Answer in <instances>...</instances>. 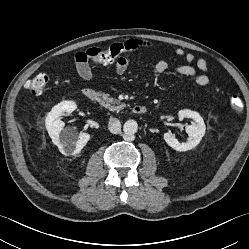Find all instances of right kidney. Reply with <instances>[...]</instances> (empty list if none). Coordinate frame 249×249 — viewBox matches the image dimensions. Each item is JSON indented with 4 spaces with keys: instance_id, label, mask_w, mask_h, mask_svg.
Masks as SVG:
<instances>
[{
    "instance_id": "ca27d5eb",
    "label": "right kidney",
    "mask_w": 249,
    "mask_h": 249,
    "mask_svg": "<svg viewBox=\"0 0 249 249\" xmlns=\"http://www.w3.org/2000/svg\"><path fill=\"white\" fill-rule=\"evenodd\" d=\"M76 108L75 102L63 101L54 106L45 119L46 129L52 142L65 156L78 154L90 139L88 133L82 132L76 140V134L72 129L63 130L64 123L60 120V116L65 112L70 114Z\"/></svg>"
}]
</instances>
